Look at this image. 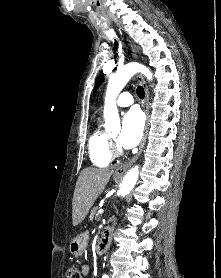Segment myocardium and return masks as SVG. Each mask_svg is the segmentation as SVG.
I'll list each match as a JSON object with an SVG mask.
<instances>
[{"label": "myocardium", "mask_w": 221, "mask_h": 278, "mask_svg": "<svg viewBox=\"0 0 221 278\" xmlns=\"http://www.w3.org/2000/svg\"><path fill=\"white\" fill-rule=\"evenodd\" d=\"M109 149L112 156H120L123 154L122 149L117 145L113 138H110Z\"/></svg>", "instance_id": "myocardium-1"}]
</instances>
